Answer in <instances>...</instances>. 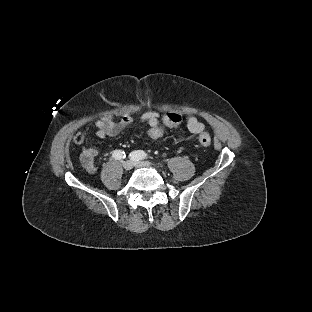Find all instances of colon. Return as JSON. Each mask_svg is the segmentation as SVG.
<instances>
[{"instance_id": "1", "label": "colon", "mask_w": 312, "mask_h": 312, "mask_svg": "<svg viewBox=\"0 0 312 312\" xmlns=\"http://www.w3.org/2000/svg\"><path fill=\"white\" fill-rule=\"evenodd\" d=\"M164 121L167 126L173 127L179 124L180 119L176 113L170 112L165 115ZM161 135L162 132L158 128L153 129L150 133L151 138L154 140L159 139ZM199 142L203 147H209L211 145V137L208 134H201Z\"/></svg>"}]
</instances>
